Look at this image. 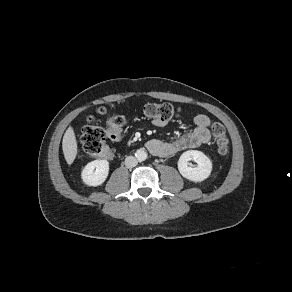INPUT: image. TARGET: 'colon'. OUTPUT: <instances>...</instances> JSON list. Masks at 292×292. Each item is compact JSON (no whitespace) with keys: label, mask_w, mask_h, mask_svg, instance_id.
<instances>
[{"label":"colon","mask_w":292,"mask_h":292,"mask_svg":"<svg viewBox=\"0 0 292 292\" xmlns=\"http://www.w3.org/2000/svg\"><path fill=\"white\" fill-rule=\"evenodd\" d=\"M179 109L170 103H148L144 106V114L153 120L168 121L179 115ZM106 113L104 108H99L95 115L89 116L87 125L81 131V144L83 150L93 156L104 155L110 157V152L106 151L105 142L110 140L118 142L122 138V130L125 119L120 114H115L109 118L106 126L100 124V117ZM211 133L216 143L217 151L221 155L227 154L229 150V138L224 126L214 123Z\"/></svg>","instance_id":"obj_1"}]
</instances>
